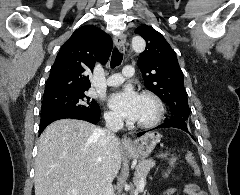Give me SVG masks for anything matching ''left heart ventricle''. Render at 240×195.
Returning <instances> with one entry per match:
<instances>
[{"mask_svg":"<svg viewBox=\"0 0 240 195\" xmlns=\"http://www.w3.org/2000/svg\"><path fill=\"white\" fill-rule=\"evenodd\" d=\"M155 113V106L150 99L142 98L140 99V105L138 110V115L136 123H142L150 120Z\"/></svg>","mask_w":240,"mask_h":195,"instance_id":"b2bd125f","label":"left heart ventricle"}]
</instances>
